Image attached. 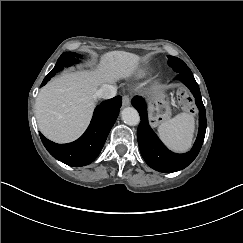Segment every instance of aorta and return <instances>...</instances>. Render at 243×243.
<instances>
[{
	"label": "aorta",
	"instance_id": "aorta-1",
	"mask_svg": "<svg viewBox=\"0 0 243 243\" xmlns=\"http://www.w3.org/2000/svg\"><path fill=\"white\" fill-rule=\"evenodd\" d=\"M122 120L129 126H136L140 122V116L133 107H126L121 111Z\"/></svg>",
	"mask_w": 243,
	"mask_h": 243
}]
</instances>
